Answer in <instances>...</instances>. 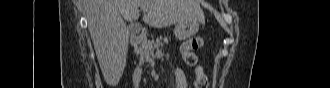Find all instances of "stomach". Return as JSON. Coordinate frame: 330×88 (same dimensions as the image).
I'll return each mask as SVG.
<instances>
[{"mask_svg":"<svg viewBox=\"0 0 330 88\" xmlns=\"http://www.w3.org/2000/svg\"><path fill=\"white\" fill-rule=\"evenodd\" d=\"M199 20L179 21L174 28V35L179 40H185L197 33L200 25Z\"/></svg>","mask_w":330,"mask_h":88,"instance_id":"0dacf381","label":"stomach"}]
</instances>
